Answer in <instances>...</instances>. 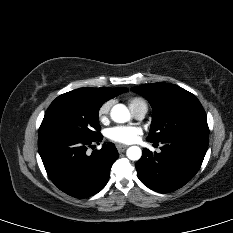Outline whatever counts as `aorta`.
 Wrapping results in <instances>:
<instances>
[{"label":"aorta","instance_id":"1","mask_svg":"<svg viewBox=\"0 0 233 233\" xmlns=\"http://www.w3.org/2000/svg\"><path fill=\"white\" fill-rule=\"evenodd\" d=\"M111 119L117 123L128 122L131 118L130 112L123 104L113 106L110 113ZM127 157L132 161H137L142 156V151L138 146H131L126 151Z\"/></svg>","mask_w":233,"mask_h":233}]
</instances>
